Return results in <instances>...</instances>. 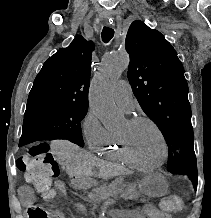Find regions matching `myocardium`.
<instances>
[{
    "label": "myocardium",
    "mask_w": 211,
    "mask_h": 218,
    "mask_svg": "<svg viewBox=\"0 0 211 218\" xmlns=\"http://www.w3.org/2000/svg\"><path fill=\"white\" fill-rule=\"evenodd\" d=\"M127 121L130 125H136V124L141 123V122H146V123L150 124L156 130V132L159 135L161 146H162V158L158 163H155V164H147V163H144V162L138 160L134 156L132 151L130 150L126 136L117 132L116 136H117L118 142H119L124 154L128 157V159L131 161V163H133L137 166H140L142 168L153 169V168L159 167L164 162V160L166 158V153H167L165 135H164L162 129L159 127V125L153 119H151L147 116H133V117H130Z\"/></svg>",
    "instance_id": "1"
}]
</instances>
